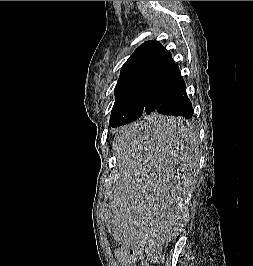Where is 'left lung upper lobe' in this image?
<instances>
[{
    "instance_id": "obj_1",
    "label": "left lung upper lobe",
    "mask_w": 253,
    "mask_h": 266,
    "mask_svg": "<svg viewBox=\"0 0 253 266\" xmlns=\"http://www.w3.org/2000/svg\"><path fill=\"white\" fill-rule=\"evenodd\" d=\"M167 50L156 40L140 45L124 63L115 86L110 125L117 127L141 121L146 94Z\"/></svg>"
}]
</instances>
